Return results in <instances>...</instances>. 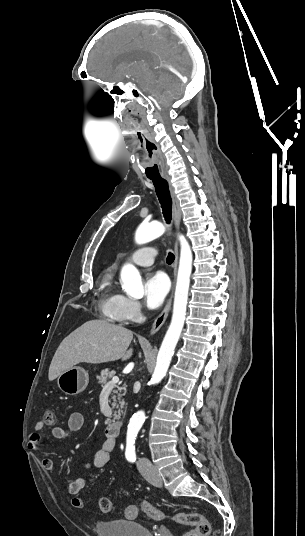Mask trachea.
Here are the masks:
<instances>
[{
	"mask_svg": "<svg viewBox=\"0 0 305 536\" xmlns=\"http://www.w3.org/2000/svg\"><path fill=\"white\" fill-rule=\"evenodd\" d=\"M149 180H152L153 182L157 197L161 204V208L163 211L165 221L169 225L172 219V199L170 196L168 182L167 180H165V178H162V177H152V178H149ZM174 260H175L174 254L169 252L166 258V263H168V265H171V263H173Z\"/></svg>",
	"mask_w": 305,
	"mask_h": 536,
	"instance_id": "3493384b",
	"label": "trachea"
}]
</instances>
